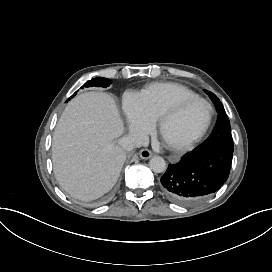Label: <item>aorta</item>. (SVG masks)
Returning a JSON list of instances; mask_svg holds the SVG:
<instances>
[{
	"instance_id": "aorta-1",
	"label": "aorta",
	"mask_w": 272,
	"mask_h": 272,
	"mask_svg": "<svg viewBox=\"0 0 272 272\" xmlns=\"http://www.w3.org/2000/svg\"><path fill=\"white\" fill-rule=\"evenodd\" d=\"M149 167L154 173H162L166 170V162L162 157H153L150 159Z\"/></svg>"
}]
</instances>
